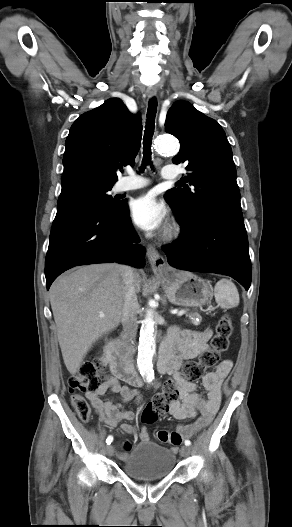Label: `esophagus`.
Listing matches in <instances>:
<instances>
[{
	"instance_id": "1",
	"label": "esophagus",
	"mask_w": 292,
	"mask_h": 527,
	"mask_svg": "<svg viewBox=\"0 0 292 527\" xmlns=\"http://www.w3.org/2000/svg\"><path fill=\"white\" fill-rule=\"evenodd\" d=\"M156 91L149 90L145 93L144 100L148 101L156 96ZM147 257L154 272H160L166 267V261L152 245L147 248Z\"/></svg>"
}]
</instances>
